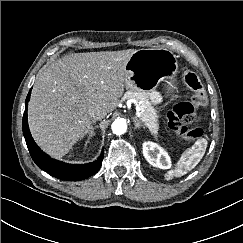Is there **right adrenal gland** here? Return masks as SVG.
Listing matches in <instances>:
<instances>
[{
  "mask_svg": "<svg viewBox=\"0 0 243 243\" xmlns=\"http://www.w3.org/2000/svg\"><path fill=\"white\" fill-rule=\"evenodd\" d=\"M94 123H95V121H91V122H90L89 130H88V132H87V133H88V139H87L88 141H89V139L95 134V133H94V129H95V128L92 126V124H94Z\"/></svg>",
  "mask_w": 243,
  "mask_h": 243,
  "instance_id": "2a0ac1e0",
  "label": "right adrenal gland"
}]
</instances>
